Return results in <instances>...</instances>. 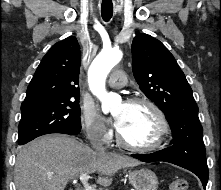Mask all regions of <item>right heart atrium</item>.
Listing matches in <instances>:
<instances>
[{"instance_id": "obj_1", "label": "right heart atrium", "mask_w": 221, "mask_h": 190, "mask_svg": "<svg viewBox=\"0 0 221 190\" xmlns=\"http://www.w3.org/2000/svg\"><path fill=\"white\" fill-rule=\"evenodd\" d=\"M80 119L81 126L90 141L98 144L109 142L110 130L93 106L83 105Z\"/></svg>"}]
</instances>
